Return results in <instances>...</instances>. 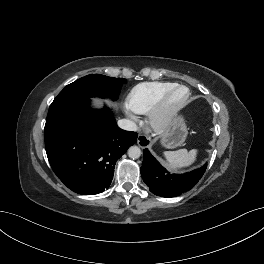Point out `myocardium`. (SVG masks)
<instances>
[{
    "instance_id": "obj_1",
    "label": "myocardium",
    "mask_w": 264,
    "mask_h": 264,
    "mask_svg": "<svg viewBox=\"0 0 264 264\" xmlns=\"http://www.w3.org/2000/svg\"><path fill=\"white\" fill-rule=\"evenodd\" d=\"M178 89H185L186 96L179 104L170 107V98ZM189 98L190 90L185 85L175 84L167 89L149 111V123L152 128L158 132L167 130L172 125L180 111L187 105Z\"/></svg>"
}]
</instances>
